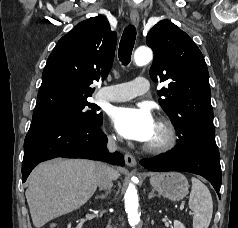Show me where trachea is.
Wrapping results in <instances>:
<instances>
[{
    "mask_svg": "<svg viewBox=\"0 0 238 228\" xmlns=\"http://www.w3.org/2000/svg\"><path fill=\"white\" fill-rule=\"evenodd\" d=\"M136 39V29L133 25H128L121 37L119 46V59L123 65H128L131 60L132 50Z\"/></svg>",
    "mask_w": 238,
    "mask_h": 228,
    "instance_id": "1",
    "label": "trachea"
}]
</instances>
